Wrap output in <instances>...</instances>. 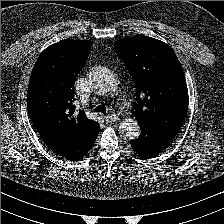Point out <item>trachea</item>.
<instances>
[{"label": "trachea", "instance_id": "trachea-1", "mask_svg": "<svg viewBox=\"0 0 224 224\" xmlns=\"http://www.w3.org/2000/svg\"><path fill=\"white\" fill-rule=\"evenodd\" d=\"M95 112H101V113L105 114L106 108L103 105H99L96 107Z\"/></svg>", "mask_w": 224, "mask_h": 224}]
</instances>
